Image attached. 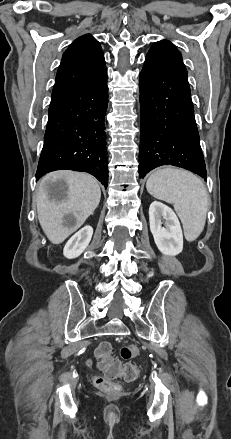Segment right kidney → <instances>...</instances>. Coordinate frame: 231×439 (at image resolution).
I'll return each instance as SVG.
<instances>
[{
    "label": "right kidney",
    "mask_w": 231,
    "mask_h": 439,
    "mask_svg": "<svg viewBox=\"0 0 231 439\" xmlns=\"http://www.w3.org/2000/svg\"><path fill=\"white\" fill-rule=\"evenodd\" d=\"M93 235V228L85 226L75 233L66 243L63 254L68 259L77 258L89 245Z\"/></svg>",
    "instance_id": "ca27d5eb"
}]
</instances>
